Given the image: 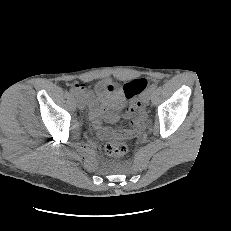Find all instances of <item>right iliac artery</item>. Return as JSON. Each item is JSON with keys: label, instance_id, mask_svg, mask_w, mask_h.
<instances>
[{"label": "right iliac artery", "instance_id": "right-iliac-artery-1", "mask_svg": "<svg viewBox=\"0 0 231 231\" xmlns=\"http://www.w3.org/2000/svg\"><path fill=\"white\" fill-rule=\"evenodd\" d=\"M70 93H72V94H75L76 93V90L75 89H73V88H70Z\"/></svg>", "mask_w": 231, "mask_h": 231}]
</instances>
